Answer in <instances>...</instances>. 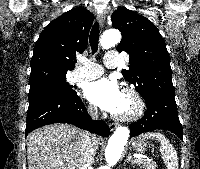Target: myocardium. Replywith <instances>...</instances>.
<instances>
[{
  "label": "myocardium",
  "mask_w": 200,
  "mask_h": 169,
  "mask_svg": "<svg viewBox=\"0 0 200 169\" xmlns=\"http://www.w3.org/2000/svg\"><path fill=\"white\" fill-rule=\"evenodd\" d=\"M123 94L129 96L133 103L134 109L132 112L124 115L120 114H113L114 119L121 121V122H134L140 119L144 112H145V102L142 96L133 88H125L123 90Z\"/></svg>",
  "instance_id": "obj_1"
}]
</instances>
